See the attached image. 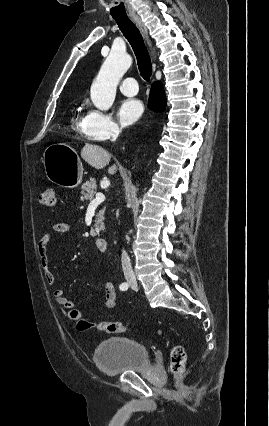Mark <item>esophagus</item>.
<instances>
[{"instance_id": "esophagus-1", "label": "esophagus", "mask_w": 269, "mask_h": 426, "mask_svg": "<svg viewBox=\"0 0 269 426\" xmlns=\"http://www.w3.org/2000/svg\"><path fill=\"white\" fill-rule=\"evenodd\" d=\"M131 20L135 23V25L138 27V29L140 30V32H141V34H142V36L144 37V39H145V41H146V43H147V45H148V47L150 48V50H151V54H152V56H153V59L155 58V56H154V51H153V49H152V43H151V41H150V39H149V36H148V32H147V29H146V26L144 25V23L142 22V20L140 19V17L139 16H132L131 17ZM154 70H155V64H154Z\"/></svg>"}]
</instances>
